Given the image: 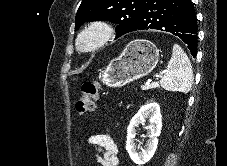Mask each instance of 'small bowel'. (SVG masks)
<instances>
[{"mask_svg": "<svg viewBox=\"0 0 227 166\" xmlns=\"http://www.w3.org/2000/svg\"><path fill=\"white\" fill-rule=\"evenodd\" d=\"M88 143L96 148L98 154L95 157L100 166H118L117 146L109 133L92 135Z\"/></svg>", "mask_w": 227, "mask_h": 166, "instance_id": "obj_1", "label": "small bowel"}]
</instances>
